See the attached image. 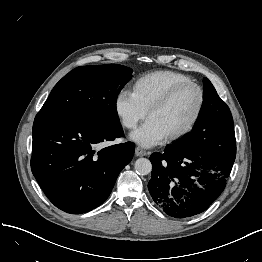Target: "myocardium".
<instances>
[{
    "mask_svg": "<svg viewBox=\"0 0 262 262\" xmlns=\"http://www.w3.org/2000/svg\"><path fill=\"white\" fill-rule=\"evenodd\" d=\"M192 87L194 88L199 96V100H198V105L196 108V111L193 115V117L191 118V120L189 121V123L181 130L167 136V140L172 142V141H176L179 140L183 137H185L186 135H188L196 126V124L198 123L200 116L202 114L203 108H204V104H205V92L204 89L197 83L189 81V82H184L181 84H178L176 86H174L173 88H171L163 97H161L157 102H155L147 111V115L148 117H150L154 112L164 108L166 105H168L170 103V101L182 90Z\"/></svg>",
    "mask_w": 262,
    "mask_h": 262,
    "instance_id": "f54148a6",
    "label": "myocardium"
}]
</instances>
